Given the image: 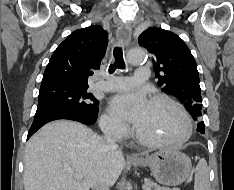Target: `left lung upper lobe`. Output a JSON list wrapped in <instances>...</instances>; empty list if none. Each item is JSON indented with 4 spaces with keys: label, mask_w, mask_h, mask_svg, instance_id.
<instances>
[{
    "label": "left lung upper lobe",
    "mask_w": 234,
    "mask_h": 190,
    "mask_svg": "<svg viewBox=\"0 0 234 190\" xmlns=\"http://www.w3.org/2000/svg\"><path fill=\"white\" fill-rule=\"evenodd\" d=\"M138 41L154 56L153 66L162 91L179 99L198 122L197 131L204 133L199 73L187 45L175 33L157 27L146 29Z\"/></svg>",
    "instance_id": "1"
}]
</instances>
